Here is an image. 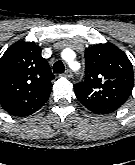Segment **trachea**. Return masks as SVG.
Returning a JSON list of instances; mask_svg holds the SVG:
<instances>
[{"instance_id":"3493384b","label":"trachea","mask_w":135,"mask_h":165,"mask_svg":"<svg viewBox=\"0 0 135 165\" xmlns=\"http://www.w3.org/2000/svg\"><path fill=\"white\" fill-rule=\"evenodd\" d=\"M65 70L64 64L62 61H56L53 65V72L54 73H63Z\"/></svg>"}]
</instances>
